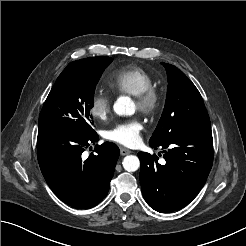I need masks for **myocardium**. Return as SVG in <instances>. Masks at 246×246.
<instances>
[{
    "instance_id": "f54148a6",
    "label": "myocardium",
    "mask_w": 246,
    "mask_h": 246,
    "mask_svg": "<svg viewBox=\"0 0 246 246\" xmlns=\"http://www.w3.org/2000/svg\"><path fill=\"white\" fill-rule=\"evenodd\" d=\"M134 99L137 109L145 115L155 114L161 105V94L153 86L134 96Z\"/></svg>"
}]
</instances>
